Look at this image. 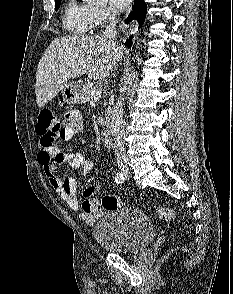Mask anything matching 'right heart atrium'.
<instances>
[{
  "instance_id": "obj_1",
  "label": "right heart atrium",
  "mask_w": 233,
  "mask_h": 294,
  "mask_svg": "<svg viewBox=\"0 0 233 294\" xmlns=\"http://www.w3.org/2000/svg\"><path fill=\"white\" fill-rule=\"evenodd\" d=\"M91 14L94 28H100L116 17V11L111 7H91Z\"/></svg>"
}]
</instances>
